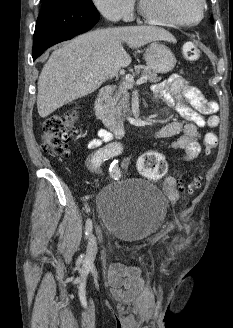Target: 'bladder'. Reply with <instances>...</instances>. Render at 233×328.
I'll return each mask as SVG.
<instances>
[{
	"instance_id": "1",
	"label": "bladder",
	"mask_w": 233,
	"mask_h": 328,
	"mask_svg": "<svg viewBox=\"0 0 233 328\" xmlns=\"http://www.w3.org/2000/svg\"><path fill=\"white\" fill-rule=\"evenodd\" d=\"M96 205L102 229L125 242H137L156 232L168 210L164 194L142 180L107 185L98 194Z\"/></svg>"
}]
</instances>
